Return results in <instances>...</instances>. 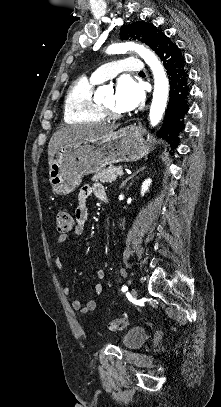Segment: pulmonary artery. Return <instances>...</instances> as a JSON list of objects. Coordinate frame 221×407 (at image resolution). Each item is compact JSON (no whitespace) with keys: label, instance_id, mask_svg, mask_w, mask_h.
<instances>
[{"label":"pulmonary artery","instance_id":"1","mask_svg":"<svg viewBox=\"0 0 221 407\" xmlns=\"http://www.w3.org/2000/svg\"><path fill=\"white\" fill-rule=\"evenodd\" d=\"M145 70L144 64L135 57L122 56L116 61L101 65L92 73V79L98 83L114 77L120 72L136 74Z\"/></svg>","mask_w":221,"mask_h":407}]
</instances>
